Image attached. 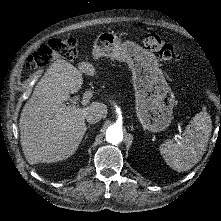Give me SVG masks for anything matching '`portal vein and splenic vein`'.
Instances as JSON below:
<instances>
[{"label": "portal vein and splenic vein", "mask_w": 221, "mask_h": 221, "mask_svg": "<svg viewBox=\"0 0 221 221\" xmlns=\"http://www.w3.org/2000/svg\"><path fill=\"white\" fill-rule=\"evenodd\" d=\"M86 98H87V97L84 95V96H83V100L81 101V104L84 105V106L87 104V103H86ZM77 100H78V98L73 97V98L71 99V104H70V105L64 104V107H65V108H70V109L76 108V107H77V106H76ZM172 137H173L174 139H177V138L179 137V134H178L177 132H174V133L172 134Z\"/></svg>", "instance_id": "portal-vein-and-splenic-vein-1"}]
</instances>
